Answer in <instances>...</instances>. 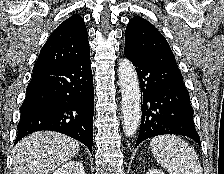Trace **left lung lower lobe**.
Here are the masks:
<instances>
[{
    "mask_svg": "<svg viewBox=\"0 0 224 174\" xmlns=\"http://www.w3.org/2000/svg\"><path fill=\"white\" fill-rule=\"evenodd\" d=\"M125 56L135 66L141 87L142 121L136 146L162 134L184 135L200 145L189 92L177 65L127 52Z\"/></svg>",
    "mask_w": 224,
    "mask_h": 174,
    "instance_id": "left-lung-lower-lobe-1",
    "label": "left lung lower lobe"
}]
</instances>
